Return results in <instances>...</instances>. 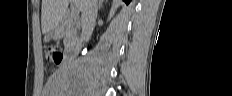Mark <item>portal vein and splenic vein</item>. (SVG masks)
<instances>
[{
    "instance_id": "18ae733b",
    "label": "portal vein and splenic vein",
    "mask_w": 232,
    "mask_h": 96,
    "mask_svg": "<svg viewBox=\"0 0 232 96\" xmlns=\"http://www.w3.org/2000/svg\"><path fill=\"white\" fill-rule=\"evenodd\" d=\"M73 2L75 3V5H77L78 0H73Z\"/></svg>"
}]
</instances>
